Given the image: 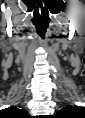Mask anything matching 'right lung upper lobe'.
I'll use <instances>...</instances> for the list:
<instances>
[{
    "instance_id": "obj_1",
    "label": "right lung upper lobe",
    "mask_w": 85,
    "mask_h": 118,
    "mask_svg": "<svg viewBox=\"0 0 85 118\" xmlns=\"http://www.w3.org/2000/svg\"><path fill=\"white\" fill-rule=\"evenodd\" d=\"M8 111L11 113H23V112H25L24 110L17 109L16 107H10V108H8Z\"/></svg>"
}]
</instances>
